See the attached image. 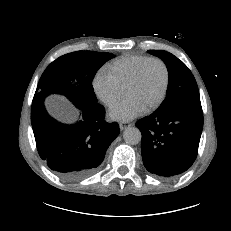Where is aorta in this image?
I'll use <instances>...</instances> for the list:
<instances>
[{"instance_id": "obj_1", "label": "aorta", "mask_w": 231, "mask_h": 231, "mask_svg": "<svg viewBox=\"0 0 231 231\" xmlns=\"http://www.w3.org/2000/svg\"><path fill=\"white\" fill-rule=\"evenodd\" d=\"M142 135L138 128L127 127L123 132V139L128 145H136L141 141Z\"/></svg>"}]
</instances>
